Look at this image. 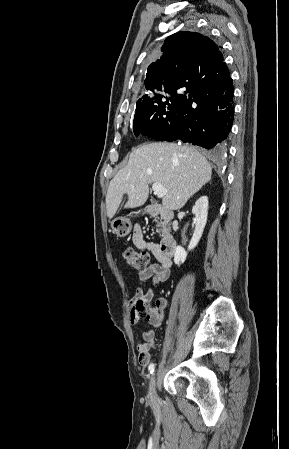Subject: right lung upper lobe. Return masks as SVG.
<instances>
[{
  "label": "right lung upper lobe",
  "mask_w": 289,
  "mask_h": 449,
  "mask_svg": "<svg viewBox=\"0 0 289 449\" xmlns=\"http://www.w3.org/2000/svg\"><path fill=\"white\" fill-rule=\"evenodd\" d=\"M161 51V58L149 65L144 81L146 89L154 94L178 89L186 82L205 81L225 65L218 46L209 37L196 32L170 35ZM148 97L144 95L139 101Z\"/></svg>",
  "instance_id": "obj_1"
}]
</instances>
